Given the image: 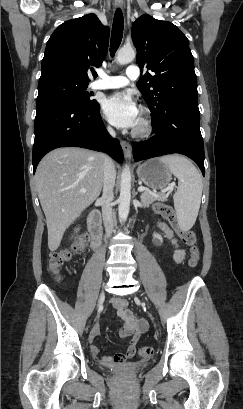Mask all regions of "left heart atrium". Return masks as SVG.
I'll return each instance as SVG.
<instances>
[{
	"label": "left heart atrium",
	"mask_w": 243,
	"mask_h": 409,
	"mask_svg": "<svg viewBox=\"0 0 243 409\" xmlns=\"http://www.w3.org/2000/svg\"><path fill=\"white\" fill-rule=\"evenodd\" d=\"M103 113L106 119L119 128H130L138 122V108L127 92H117L108 96L103 102Z\"/></svg>",
	"instance_id": "left-heart-atrium-1"
}]
</instances>
